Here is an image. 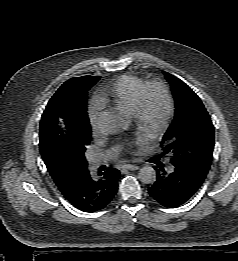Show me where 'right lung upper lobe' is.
Instances as JSON below:
<instances>
[{
	"instance_id": "cb5924a9",
	"label": "right lung upper lobe",
	"mask_w": 238,
	"mask_h": 261,
	"mask_svg": "<svg viewBox=\"0 0 238 261\" xmlns=\"http://www.w3.org/2000/svg\"><path fill=\"white\" fill-rule=\"evenodd\" d=\"M83 77H98V76H83ZM81 77V78H83ZM58 126L61 131L62 136L69 142L79 141L84 139L89 133L91 134L90 126L83 127L76 122H73L68 119H62L58 121ZM88 172L87 168L79 171L73 175H58L50 173L55 184L58 186L59 190L63 195L69 192L76 183Z\"/></svg>"
}]
</instances>
